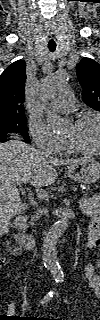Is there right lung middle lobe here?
<instances>
[{
  "instance_id": "1",
  "label": "right lung middle lobe",
  "mask_w": 100,
  "mask_h": 320,
  "mask_svg": "<svg viewBox=\"0 0 100 320\" xmlns=\"http://www.w3.org/2000/svg\"><path fill=\"white\" fill-rule=\"evenodd\" d=\"M26 117H13L8 119L0 120V135L3 137L2 142L6 141L7 134L9 133H18L22 134L25 141L29 143V135H28V128L26 126Z\"/></svg>"
}]
</instances>
